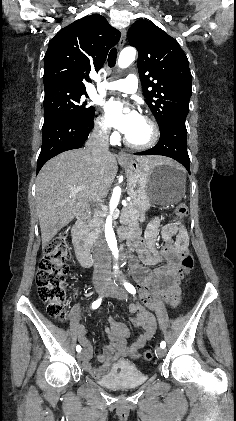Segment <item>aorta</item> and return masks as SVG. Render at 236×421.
Instances as JSON below:
<instances>
[{
  "label": "aorta",
  "mask_w": 236,
  "mask_h": 421,
  "mask_svg": "<svg viewBox=\"0 0 236 421\" xmlns=\"http://www.w3.org/2000/svg\"><path fill=\"white\" fill-rule=\"evenodd\" d=\"M136 56V50L133 48V46H126V48H123L119 54L118 58V66L120 68H127V66H130L132 64L133 60H135ZM120 194H121V188L120 186H115L113 190V194L110 198L109 202V208H110V215H108L105 223V237L106 241L108 243V247L110 251H112L115 259H118L119 251L117 247V241L115 237V233L113 231V221H112V215L115 211V208H117V204H119L120 200ZM117 269V267H115Z\"/></svg>",
  "instance_id": "aorta-1"
}]
</instances>
